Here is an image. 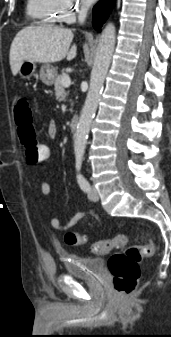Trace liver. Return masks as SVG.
Listing matches in <instances>:
<instances>
[{"instance_id":"obj_1","label":"liver","mask_w":171,"mask_h":337,"mask_svg":"<svg viewBox=\"0 0 171 337\" xmlns=\"http://www.w3.org/2000/svg\"><path fill=\"white\" fill-rule=\"evenodd\" d=\"M73 32L67 28L31 26L19 31L10 47L9 61L12 74L16 76L23 61L55 63L77 53L76 45L70 48Z\"/></svg>"}]
</instances>
